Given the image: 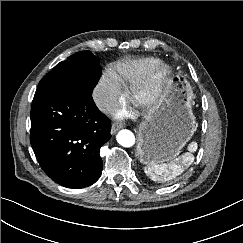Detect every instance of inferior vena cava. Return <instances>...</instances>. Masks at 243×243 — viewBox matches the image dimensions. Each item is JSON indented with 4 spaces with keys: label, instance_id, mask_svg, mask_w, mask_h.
<instances>
[{
    "label": "inferior vena cava",
    "instance_id": "1",
    "mask_svg": "<svg viewBox=\"0 0 243 243\" xmlns=\"http://www.w3.org/2000/svg\"><path fill=\"white\" fill-rule=\"evenodd\" d=\"M93 99L97 107L103 112L112 111L116 106L115 101L111 97L100 92H94Z\"/></svg>",
    "mask_w": 243,
    "mask_h": 243
}]
</instances>
